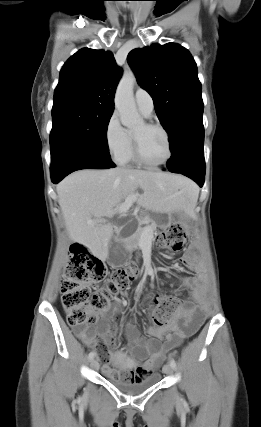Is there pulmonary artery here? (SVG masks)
<instances>
[{
    "mask_svg": "<svg viewBox=\"0 0 261 427\" xmlns=\"http://www.w3.org/2000/svg\"><path fill=\"white\" fill-rule=\"evenodd\" d=\"M135 102L141 113L149 117L154 110V102L151 95L144 89L139 88L135 92Z\"/></svg>",
    "mask_w": 261,
    "mask_h": 427,
    "instance_id": "pulmonary-artery-1",
    "label": "pulmonary artery"
}]
</instances>
